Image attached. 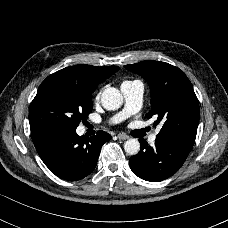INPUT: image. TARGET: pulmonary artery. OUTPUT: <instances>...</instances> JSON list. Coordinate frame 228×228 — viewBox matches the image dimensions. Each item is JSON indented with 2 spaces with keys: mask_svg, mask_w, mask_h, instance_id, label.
I'll use <instances>...</instances> for the list:
<instances>
[{
  "mask_svg": "<svg viewBox=\"0 0 228 228\" xmlns=\"http://www.w3.org/2000/svg\"><path fill=\"white\" fill-rule=\"evenodd\" d=\"M121 91L125 99L124 109L114 117L110 123H116L137 111L142 103L144 94V84L140 80L124 81L121 84ZM158 131L152 133L148 137L150 144H154Z\"/></svg>",
  "mask_w": 228,
  "mask_h": 228,
  "instance_id": "e3ab8cb5",
  "label": "pulmonary artery"
}]
</instances>
